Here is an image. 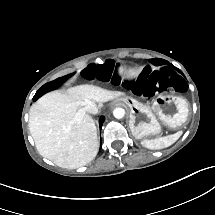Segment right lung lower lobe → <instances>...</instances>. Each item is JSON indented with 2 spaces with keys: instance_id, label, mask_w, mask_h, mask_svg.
Wrapping results in <instances>:
<instances>
[{
  "instance_id": "obj_1",
  "label": "right lung lower lobe",
  "mask_w": 215,
  "mask_h": 215,
  "mask_svg": "<svg viewBox=\"0 0 215 215\" xmlns=\"http://www.w3.org/2000/svg\"><path fill=\"white\" fill-rule=\"evenodd\" d=\"M103 121H104V117H101V119H100V121H99L100 128L102 127Z\"/></svg>"
}]
</instances>
